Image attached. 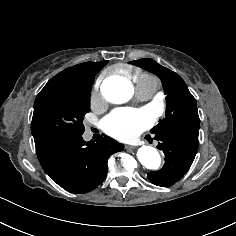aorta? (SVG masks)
Segmentation results:
<instances>
[{
	"mask_svg": "<svg viewBox=\"0 0 236 236\" xmlns=\"http://www.w3.org/2000/svg\"><path fill=\"white\" fill-rule=\"evenodd\" d=\"M101 91L108 101L115 104L127 102L134 93L132 84L127 79L118 76L104 80ZM137 158L144 167L150 170H157L161 165L158 151L151 146L140 147Z\"/></svg>",
	"mask_w": 236,
	"mask_h": 236,
	"instance_id": "762f6f07",
	"label": "aorta"
}]
</instances>
